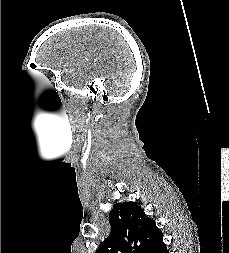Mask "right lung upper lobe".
<instances>
[{"label":"right lung upper lobe","mask_w":229,"mask_h":253,"mask_svg":"<svg viewBox=\"0 0 229 253\" xmlns=\"http://www.w3.org/2000/svg\"><path fill=\"white\" fill-rule=\"evenodd\" d=\"M111 232L96 253H150L163 233L136 202L118 203L109 214Z\"/></svg>","instance_id":"1"}]
</instances>
